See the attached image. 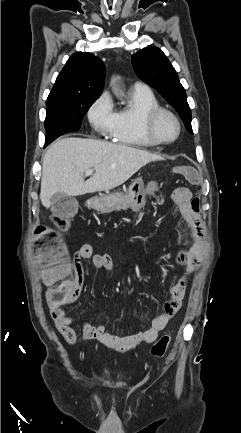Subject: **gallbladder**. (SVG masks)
Returning <instances> with one entry per match:
<instances>
[{
    "mask_svg": "<svg viewBox=\"0 0 241 433\" xmlns=\"http://www.w3.org/2000/svg\"><path fill=\"white\" fill-rule=\"evenodd\" d=\"M67 199L69 202V211L72 215H74L77 211V201L74 198H69L67 197L66 194L58 192L56 194H54L51 198H50V205L53 206L55 204H57L59 201Z\"/></svg>",
    "mask_w": 241,
    "mask_h": 433,
    "instance_id": "1",
    "label": "gallbladder"
}]
</instances>
